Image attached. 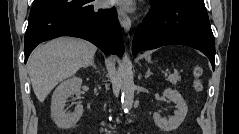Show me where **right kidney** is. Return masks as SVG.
<instances>
[{
  "label": "right kidney",
  "mask_w": 239,
  "mask_h": 134,
  "mask_svg": "<svg viewBox=\"0 0 239 134\" xmlns=\"http://www.w3.org/2000/svg\"><path fill=\"white\" fill-rule=\"evenodd\" d=\"M82 79L73 77L62 82L53 92L51 102V116L58 128L68 129L74 126L83 114V106L78 104L73 113L64 110L67 99L72 95L81 94Z\"/></svg>",
  "instance_id": "obj_1"
}]
</instances>
